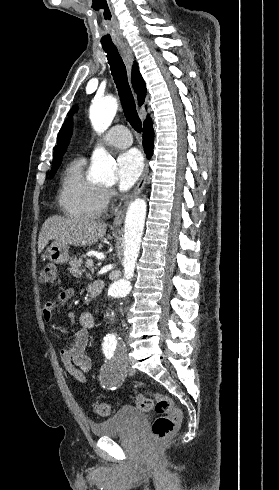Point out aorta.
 <instances>
[{"mask_svg": "<svg viewBox=\"0 0 279 490\" xmlns=\"http://www.w3.org/2000/svg\"><path fill=\"white\" fill-rule=\"evenodd\" d=\"M118 104L115 98L106 97L97 100L90 106V120L94 130L101 134L112 123L117 112ZM115 160L103 148L96 149L92 155L90 176L96 182L113 183L115 180ZM146 201L136 199L129 206L124 224V277L112 283L108 288V296L124 297L131 291L130 280L133 277L137 258L140 251L141 238L146 218ZM104 323L108 325L103 338L104 343L118 342L117 334L112 327V316L107 308L104 313Z\"/></svg>", "mask_w": 279, "mask_h": 490, "instance_id": "obj_1", "label": "aorta"}]
</instances>
